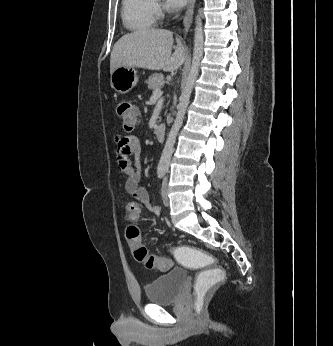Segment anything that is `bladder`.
Returning a JSON list of instances; mask_svg holds the SVG:
<instances>
[{
	"label": "bladder",
	"mask_w": 333,
	"mask_h": 346,
	"mask_svg": "<svg viewBox=\"0 0 333 346\" xmlns=\"http://www.w3.org/2000/svg\"><path fill=\"white\" fill-rule=\"evenodd\" d=\"M186 281L187 273L182 268L172 269L156 277L145 287L148 302L159 305L174 302L181 294Z\"/></svg>",
	"instance_id": "1"
}]
</instances>
